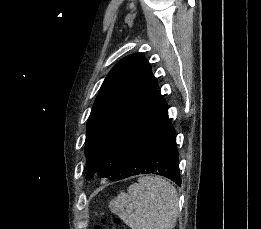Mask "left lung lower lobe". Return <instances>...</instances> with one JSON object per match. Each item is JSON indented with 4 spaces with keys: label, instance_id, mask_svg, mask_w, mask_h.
<instances>
[{
    "label": "left lung lower lobe",
    "instance_id": "left-lung-lower-lobe-1",
    "mask_svg": "<svg viewBox=\"0 0 261 229\" xmlns=\"http://www.w3.org/2000/svg\"><path fill=\"white\" fill-rule=\"evenodd\" d=\"M175 130L160 91L108 149L96 174L117 181L157 174L181 184Z\"/></svg>",
    "mask_w": 261,
    "mask_h": 229
}]
</instances>
